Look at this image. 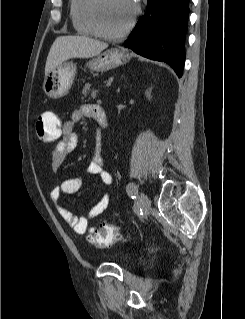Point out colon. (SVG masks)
<instances>
[{
    "mask_svg": "<svg viewBox=\"0 0 245 319\" xmlns=\"http://www.w3.org/2000/svg\"><path fill=\"white\" fill-rule=\"evenodd\" d=\"M36 135L40 142L50 144L62 135V124L52 112H44L36 120ZM119 228L112 224L101 223L98 228L90 229L88 240L100 248H106L120 240Z\"/></svg>",
    "mask_w": 245,
    "mask_h": 319,
    "instance_id": "obj_1",
    "label": "colon"
}]
</instances>
